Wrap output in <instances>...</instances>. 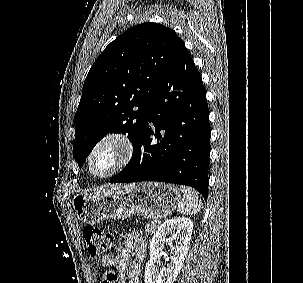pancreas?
I'll list each match as a JSON object with an SVG mask.
<instances>
[{
    "mask_svg": "<svg viewBox=\"0 0 303 283\" xmlns=\"http://www.w3.org/2000/svg\"><path fill=\"white\" fill-rule=\"evenodd\" d=\"M156 228H157L156 225L153 224V221H151L150 223H147L145 225V232L147 234L153 235L156 231Z\"/></svg>",
    "mask_w": 303,
    "mask_h": 283,
    "instance_id": "pancreas-1",
    "label": "pancreas"
}]
</instances>
